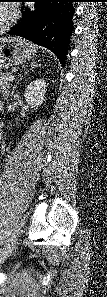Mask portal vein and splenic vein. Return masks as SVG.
I'll return each mask as SVG.
<instances>
[{
    "instance_id": "18ae733b",
    "label": "portal vein and splenic vein",
    "mask_w": 107,
    "mask_h": 297,
    "mask_svg": "<svg viewBox=\"0 0 107 297\" xmlns=\"http://www.w3.org/2000/svg\"><path fill=\"white\" fill-rule=\"evenodd\" d=\"M14 80V76L11 75L9 78H8V81H13Z\"/></svg>"
}]
</instances>
